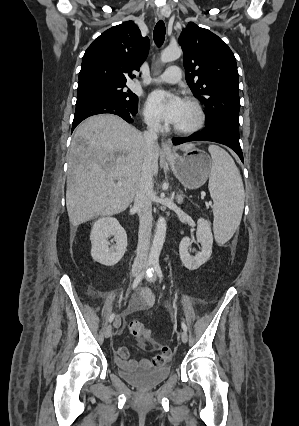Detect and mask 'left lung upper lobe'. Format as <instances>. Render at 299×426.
Segmentation results:
<instances>
[{"instance_id": "5c2ea615", "label": "left lung upper lobe", "mask_w": 299, "mask_h": 426, "mask_svg": "<svg viewBox=\"0 0 299 426\" xmlns=\"http://www.w3.org/2000/svg\"><path fill=\"white\" fill-rule=\"evenodd\" d=\"M186 81L207 109V125L239 128L236 59L228 45L207 29L189 22L179 37Z\"/></svg>"}]
</instances>
